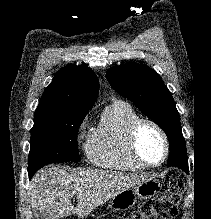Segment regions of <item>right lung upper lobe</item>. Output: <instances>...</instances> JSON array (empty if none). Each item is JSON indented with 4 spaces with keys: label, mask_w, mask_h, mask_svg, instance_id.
Instances as JSON below:
<instances>
[{
    "label": "right lung upper lobe",
    "mask_w": 211,
    "mask_h": 219,
    "mask_svg": "<svg viewBox=\"0 0 211 219\" xmlns=\"http://www.w3.org/2000/svg\"><path fill=\"white\" fill-rule=\"evenodd\" d=\"M98 90V78L89 67L68 65L55 75L38 107L53 114H87Z\"/></svg>",
    "instance_id": "obj_1"
}]
</instances>
